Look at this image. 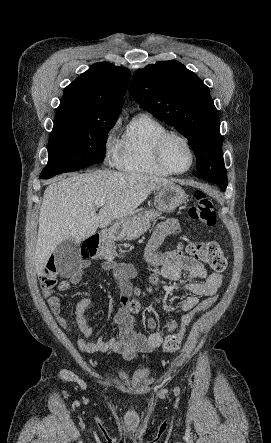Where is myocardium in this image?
<instances>
[{"instance_id": "1", "label": "myocardium", "mask_w": 271, "mask_h": 443, "mask_svg": "<svg viewBox=\"0 0 271 443\" xmlns=\"http://www.w3.org/2000/svg\"><path fill=\"white\" fill-rule=\"evenodd\" d=\"M173 137H177V138L181 139L188 146V148L190 150L191 164L185 170L179 171V170L173 169L166 160L165 146H166L167 142ZM155 155H156L157 161L164 169H166L171 174H177V175L185 174V173L189 172L194 167L195 161H196V152H195L194 146L192 145L191 141L185 135H183L179 132H176V131H169L168 130L163 135H161L159 137V139L156 141V144H155Z\"/></svg>"}]
</instances>
